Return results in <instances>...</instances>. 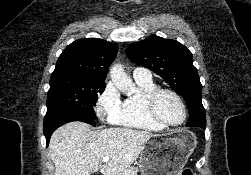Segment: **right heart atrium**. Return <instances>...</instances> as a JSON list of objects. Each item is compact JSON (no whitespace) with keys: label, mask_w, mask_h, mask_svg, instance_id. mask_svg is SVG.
<instances>
[{"label":"right heart atrium","mask_w":251,"mask_h":175,"mask_svg":"<svg viewBox=\"0 0 251 175\" xmlns=\"http://www.w3.org/2000/svg\"><path fill=\"white\" fill-rule=\"evenodd\" d=\"M122 104L116 85L112 81H107L96 98L94 111L100 121L112 124L116 123Z\"/></svg>","instance_id":"d8ad5b80"}]
</instances>
